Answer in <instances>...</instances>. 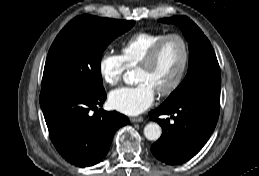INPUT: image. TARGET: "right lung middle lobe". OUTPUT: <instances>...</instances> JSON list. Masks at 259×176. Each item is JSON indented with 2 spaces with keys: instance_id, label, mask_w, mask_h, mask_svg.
I'll use <instances>...</instances> for the list:
<instances>
[{
  "instance_id": "obj_1",
  "label": "right lung middle lobe",
  "mask_w": 259,
  "mask_h": 176,
  "mask_svg": "<svg viewBox=\"0 0 259 176\" xmlns=\"http://www.w3.org/2000/svg\"><path fill=\"white\" fill-rule=\"evenodd\" d=\"M134 21L77 16L58 34L47 55L42 90L70 88L103 90L100 63L103 51Z\"/></svg>"
}]
</instances>
